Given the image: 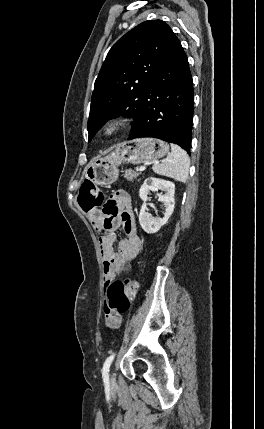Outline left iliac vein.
<instances>
[{
	"label": "left iliac vein",
	"instance_id": "4c4485c4",
	"mask_svg": "<svg viewBox=\"0 0 264 429\" xmlns=\"http://www.w3.org/2000/svg\"><path fill=\"white\" fill-rule=\"evenodd\" d=\"M110 384L111 385L115 384V373L114 372H112L110 375Z\"/></svg>",
	"mask_w": 264,
	"mask_h": 429
}]
</instances>
